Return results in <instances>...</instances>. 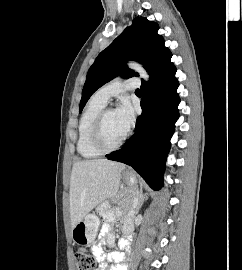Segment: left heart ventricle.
<instances>
[{
  "instance_id": "1",
  "label": "left heart ventricle",
  "mask_w": 242,
  "mask_h": 270,
  "mask_svg": "<svg viewBox=\"0 0 242 270\" xmlns=\"http://www.w3.org/2000/svg\"><path fill=\"white\" fill-rule=\"evenodd\" d=\"M126 133L121 124L117 112L112 110L108 113L104 125V140L108 145L116 144Z\"/></svg>"
}]
</instances>
